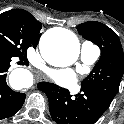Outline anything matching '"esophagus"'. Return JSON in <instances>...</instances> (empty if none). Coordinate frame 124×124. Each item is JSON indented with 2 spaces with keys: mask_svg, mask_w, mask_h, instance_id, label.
Wrapping results in <instances>:
<instances>
[{
  "mask_svg": "<svg viewBox=\"0 0 124 124\" xmlns=\"http://www.w3.org/2000/svg\"><path fill=\"white\" fill-rule=\"evenodd\" d=\"M37 80H38V81H41V80H42V78H38Z\"/></svg>",
  "mask_w": 124,
  "mask_h": 124,
  "instance_id": "1",
  "label": "esophagus"
}]
</instances>
